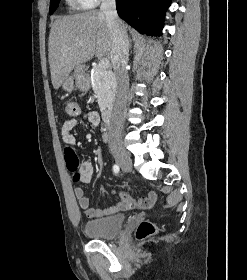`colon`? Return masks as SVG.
I'll return each instance as SVG.
<instances>
[{
	"mask_svg": "<svg viewBox=\"0 0 247 280\" xmlns=\"http://www.w3.org/2000/svg\"><path fill=\"white\" fill-rule=\"evenodd\" d=\"M79 112V108L76 102L68 101L65 104V113L66 115L71 118L75 117ZM65 161L67 169L73 173L74 181H79L80 174L79 170V159L75 154L72 147H66L65 149ZM157 231L156 226L150 221H143L136 229V238L138 240H144L149 236L155 234Z\"/></svg>",
	"mask_w": 247,
	"mask_h": 280,
	"instance_id": "colon-1",
	"label": "colon"
}]
</instances>
